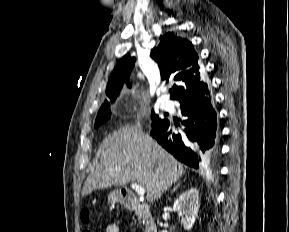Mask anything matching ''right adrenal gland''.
I'll list each match as a JSON object with an SVG mask.
<instances>
[{
  "label": "right adrenal gland",
  "mask_w": 289,
  "mask_h": 232,
  "mask_svg": "<svg viewBox=\"0 0 289 232\" xmlns=\"http://www.w3.org/2000/svg\"><path fill=\"white\" fill-rule=\"evenodd\" d=\"M185 181V180H184ZM181 185V183H178L175 187H174V189L172 190V192L171 193H173V192H175L177 189H178V187Z\"/></svg>",
  "instance_id": "2a0ac1e0"
}]
</instances>
